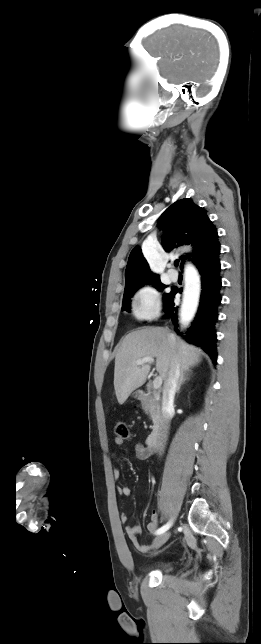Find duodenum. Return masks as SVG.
<instances>
[{"mask_svg":"<svg viewBox=\"0 0 261 644\" xmlns=\"http://www.w3.org/2000/svg\"><path fill=\"white\" fill-rule=\"evenodd\" d=\"M137 399L150 406L154 429L147 438V445L148 447L155 449L161 444L164 428V415L161 406L154 395L143 390L138 391Z\"/></svg>","mask_w":261,"mask_h":644,"instance_id":"obj_1","label":"duodenum"}]
</instances>
